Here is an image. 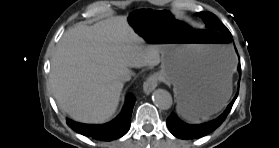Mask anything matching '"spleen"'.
<instances>
[{"label":"spleen","mask_w":279,"mask_h":148,"mask_svg":"<svg viewBox=\"0 0 279 148\" xmlns=\"http://www.w3.org/2000/svg\"><path fill=\"white\" fill-rule=\"evenodd\" d=\"M228 52L225 53V55L227 54ZM235 63V62H234ZM232 82L230 81L226 87V91L227 93L229 94L228 96V99L230 98L231 96V93H232ZM209 118L208 117H202V120L205 121V120H208ZM197 121H200L199 119H197Z\"/></svg>","instance_id":"1"}]
</instances>
